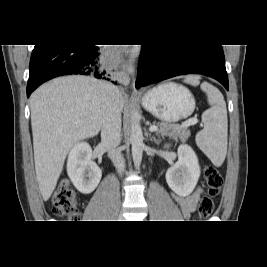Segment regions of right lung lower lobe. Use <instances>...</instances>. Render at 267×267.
Here are the masks:
<instances>
[{"mask_svg": "<svg viewBox=\"0 0 267 267\" xmlns=\"http://www.w3.org/2000/svg\"><path fill=\"white\" fill-rule=\"evenodd\" d=\"M70 74L106 79L108 73L100 58V48L75 44L35 45L30 59L27 97L42 83Z\"/></svg>", "mask_w": 267, "mask_h": 267, "instance_id": "right-lung-lower-lobe-1", "label": "right lung lower lobe"}]
</instances>
